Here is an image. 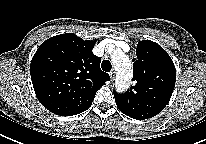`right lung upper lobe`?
Returning <instances> with one entry per match:
<instances>
[{
  "mask_svg": "<svg viewBox=\"0 0 206 144\" xmlns=\"http://www.w3.org/2000/svg\"><path fill=\"white\" fill-rule=\"evenodd\" d=\"M94 44L67 33L51 37L37 49L31 79L38 100L49 111L61 116L82 113L110 80L92 52Z\"/></svg>",
  "mask_w": 206,
  "mask_h": 144,
  "instance_id": "obj_1",
  "label": "right lung upper lobe"
}]
</instances>
